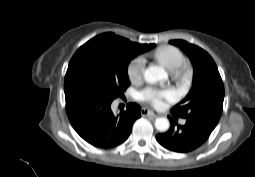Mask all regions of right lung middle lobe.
<instances>
[{
	"label": "right lung middle lobe",
	"mask_w": 255,
	"mask_h": 177,
	"mask_svg": "<svg viewBox=\"0 0 255 177\" xmlns=\"http://www.w3.org/2000/svg\"><path fill=\"white\" fill-rule=\"evenodd\" d=\"M154 44L134 43L132 48H112L95 37L81 46L70 60L65 80V93L85 90L114 100L130 85L128 64Z\"/></svg>",
	"instance_id": "dd1d6c3e"
}]
</instances>
